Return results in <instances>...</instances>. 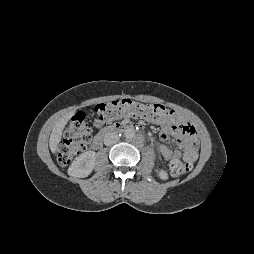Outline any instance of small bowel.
<instances>
[{
	"label": "small bowel",
	"instance_id": "obj_1",
	"mask_svg": "<svg viewBox=\"0 0 254 254\" xmlns=\"http://www.w3.org/2000/svg\"><path fill=\"white\" fill-rule=\"evenodd\" d=\"M161 127L160 137L163 143L159 146V152L167 160H173L180 156L179 151H173L167 143L171 137L177 139L179 149L184 160L193 163L198 155V141L195 127L184 117L174 113L173 119L164 122H156Z\"/></svg>",
	"mask_w": 254,
	"mask_h": 254
}]
</instances>
